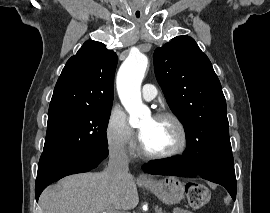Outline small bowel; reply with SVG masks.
I'll use <instances>...</instances> for the list:
<instances>
[{
  "instance_id": "small-bowel-1",
  "label": "small bowel",
  "mask_w": 270,
  "mask_h": 213,
  "mask_svg": "<svg viewBox=\"0 0 270 213\" xmlns=\"http://www.w3.org/2000/svg\"><path fill=\"white\" fill-rule=\"evenodd\" d=\"M174 213H192L191 211L189 210H185V209H181V208H178L174 211Z\"/></svg>"
}]
</instances>
